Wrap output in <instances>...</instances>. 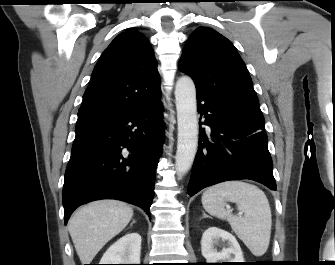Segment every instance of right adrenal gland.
<instances>
[{
	"label": "right adrenal gland",
	"instance_id": "right-adrenal-gland-1",
	"mask_svg": "<svg viewBox=\"0 0 335 265\" xmlns=\"http://www.w3.org/2000/svg\"><path fill=\"white\" fill-rule=\"evenodd\" d=\"M135 223V220H133V222L131 223V226Z\"/></svg>",
	"mask_w": 335,
	"mask_h": 265
}]
</instances>
